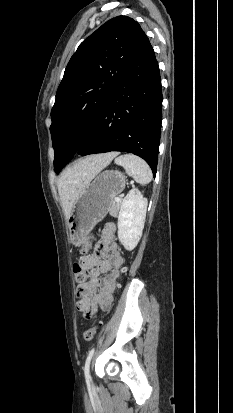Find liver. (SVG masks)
<instances>
[{"instance_id": "1", "label": "liver", "mask_w": 233, "mask_h": 413, "mask_svg": "<svg viewBox=\"0 0 233 413\" xmlns=\"http://www.w3.org/2000/svg\"><path fill=\"white\" fill-rule=\"evenodd\" d=\"M117 155V152H110L80 159L61 174L57 186L66 219L83 188Z\"/></svg>"}]
</instances>
